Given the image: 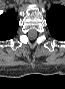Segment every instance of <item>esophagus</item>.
I'll return each mask as SVG.
<instances>
[{"instance_id": "34e87169", "label": "esophagus", "mask_w": 65, "mask_h": 89, "mask_svg": "<svg viewBox=\"0 0 65 89\" xmlns=\"http://www.w3.org/2000/svg\"><path fill=\"white\" fill-rule=\"evenodd\" d=\"M30 2H31V3H36V1H35V0H31Z\"/></svg>"}]
</instances>
